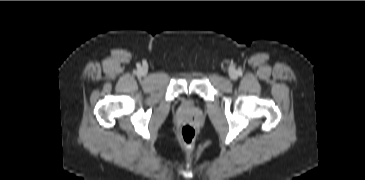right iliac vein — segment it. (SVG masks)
Instances as JSON below:
<instances>
[{
  "label": "right iliac vein",
  "mask_w": 365,
  "mask_h": 180,
  "mask_svg": "<svg viewBox=\"0 0 365 180\" xmlns=\"http://www.w3.org/2000/svg\"><path fill=\"white\" fill-rule=\"evenodd\" d=\"M140 73H141L142 75H145V74L147 73V69H146L145 67L141 68V69H140Z\"/></svg>",
  "instance_id": "1"
}]
</instances>
